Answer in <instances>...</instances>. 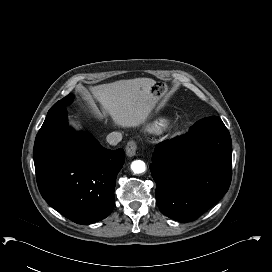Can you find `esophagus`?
Wrapping results in <instances>:
<instances>
[{
  "label": "esophagus",
  "instance_id": "obj_1",
  "mask_svg": "<svg viewBox=\"0 0 272 272\" xmlns=\"http://www.w3.org/2000/svg\"><path fill=\"white\" fill-rule=\"evenodd\" d=\"M137 151V143L134 140H130L126 145V154L129 157L135 156Z\"/></svg>",
  "mask_w": 272,
  "mask_h": 272
}]
</instances>
